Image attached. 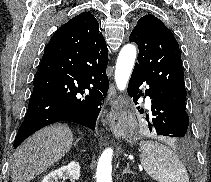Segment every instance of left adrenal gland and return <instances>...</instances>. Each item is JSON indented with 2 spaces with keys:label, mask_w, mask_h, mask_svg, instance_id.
<instances>
[{
  "label": "left adrenal gland",
  "mask_w": 211,
  "mask_h": 182,
  "mask_svg": "<svg viewBox=\"0 0 211 182\" xmlns=\"http://www.w3.org/2000/svg\"><path fill=\"white\" fill-rule=\"evenodd\" d=\"M127 173H129V174H135L133 171H131L130 170V163H127V166H126V168L123 170V172H122V177L125 175V174H127Z\"/></svg>",
  "instance_id": "1"
}]
</instances>
